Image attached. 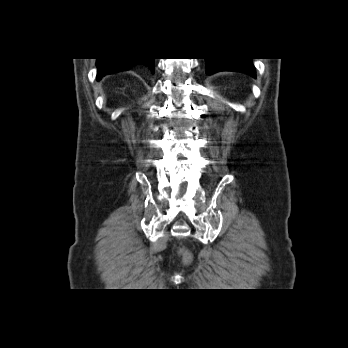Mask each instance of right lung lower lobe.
<instances>
[{
  "label": "right lung lower lobe",
  "mask_w": 348,
  "mask_h": 348,
  "mask_svg": "<svg viewBox=\"0 0 348 348\" xmlns=\"http://www.w3.org/2000/svg\"><path fill=\"white\" fill-rule=\"evenodd\" d=\"M138 63L148 66L152 72H154V58L97 59V80H100L103 76L110 73L126 71Z\"/></svg>",
  "instance_id": "98d812e1"
}]
</instances>
